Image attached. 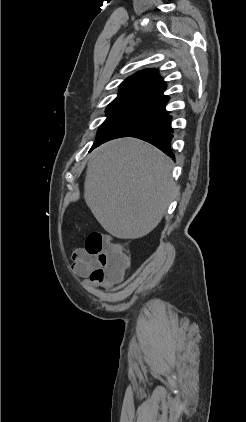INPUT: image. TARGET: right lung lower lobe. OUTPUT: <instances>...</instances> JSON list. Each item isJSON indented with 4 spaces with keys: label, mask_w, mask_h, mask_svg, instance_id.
I'll return each instance as SVG.
<instances>
[{
    "label": "right lung lower lobe",
    "mask_w": 246,
    "mask_h": 422,
    "mask_svg": "<svg viewBox=\"0 0 246 422\" xmlns=\"http://www.w3.org/2000/svg\"><path fill=\"white\" fill-rule=\"evenodd\" d=\"M170 119L171 116L169 115V112L164 109L163 115L159 119L137 130L129 136L147 141L159 148L166 155L173 157L174 155L171 152L170 142L174 131L171 127Z\"/></svg>",
    "instance_id": "right-lung-lower-lobe-1"
}]
</instances>
